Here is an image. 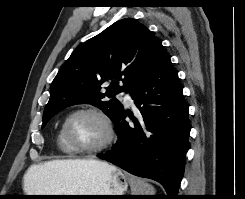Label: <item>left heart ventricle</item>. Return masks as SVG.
<instances>
[{
    "label": "left heart ventricle",
    "mask_w": 245,
    "mask_h": 199,
    "mask_svg": "<svg viewBox=\"0 0 245 199\" xmlns=\"http://www.w3.org/2000/svg\"><path fill=\"white\" fill-rule=\"evenodd\" d=\"M70 136L77 146L92 148L101 144L106 137L103 123L92 114L75 116L68 127Z\"/></svg>",
    "instance_id": "b2bd125f"
}]
</instances>
